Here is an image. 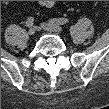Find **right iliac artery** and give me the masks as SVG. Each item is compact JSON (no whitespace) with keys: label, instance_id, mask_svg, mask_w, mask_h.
<instances>
[{"label":"right iliac artery","instance_id":"1","mask_svg":"<svg viewBox=\"0 0 109 109\" xmlns=\"http://www.w3.org/2000/svg\"><path fill=\"white\" fill-rule=\"evenodd\" d=\"M34 24V18L33 17H28V19L26 20V26L27 27H32Z\"/></svg>","mask_w":109,"mask_h":109}]
</instances>
